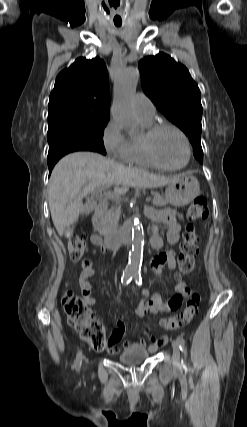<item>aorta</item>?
Returning a JSON list of instances; mask_svg holds the SVG:
<instances>
[{
	"instance_id": "1",
	"label": "aorta",
	"mask_w": 247,
	"mask_h": 427,
	"mask_svg": "<svg viewBox=\"0 0 247 427\" xmlns=\"http://www.w3.org/2000/svg\"><path fill=\"white\" fill-rule=\"evenodd\" d=\"M138 72L134 67H122L116 74L114 84L113 120L130 135L138 133V122L132 108V99L138 84ZM144 230L137 218L132 224V249L125 272L136 274L142 263Z\"/></svg>"
}]
</instances>
